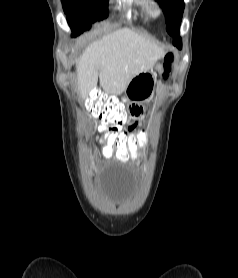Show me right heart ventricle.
Wrapping results in <instances>:
<instances>
[{"instance_id": "1", "label": "right heart ventricle", "mask_w": 238, "mask_h": 278, "mask_svg": "<svg viewBox=\"0 0 238 278\" xmlns=\"http://www.w3.org/2000/svg\"><path fill=\"white\" fill-rule=\"evenodd\" d=\"M145 14L150 15V2L149 0H132Z\"/></svg>"}]
</instances>
